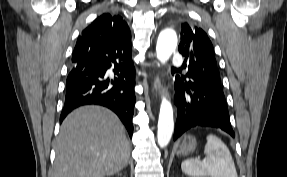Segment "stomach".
Masks as SVG:
<instances>
[{
  "label": "stomach",
  "instance_id": "stomach-1",
  "mask_svg": "<svg viewBox=\"0 0 287 177\" xmlns=\"http://www.w3.org/2000/svg\"><path fill=\"white\" fill-rule=\"evenodd\" d=\"M196 138L191 134L184 135L177 154L180 156H187L196 149Z\"/></svg>",
  "mask_w": 287,
  "mask_h": 177
}]
</instances>
